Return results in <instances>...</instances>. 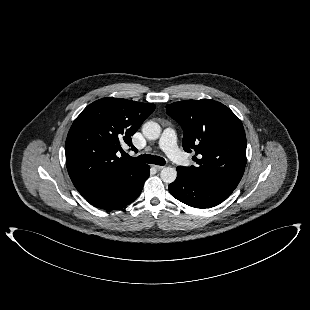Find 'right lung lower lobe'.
<instances>
[{
    "label": "right lung lower lobe",
    "instance_id": "obj_1",
    "mask_svg": "<svg viewBox=\"0 0 310 310\" xmlns=\"http://www.w3.org/2000/svg\"><path fill=\"white\" fill-rule=\"evenodd\" d=\"M149 170L150 167L146 165L132 183L84 198L98 208L106 210L120 209L133 202L140 195L144 182L150 175Z\"/></svg>",
    "mask_w": 310,
    "mask_h": 310
}]
</instances>
